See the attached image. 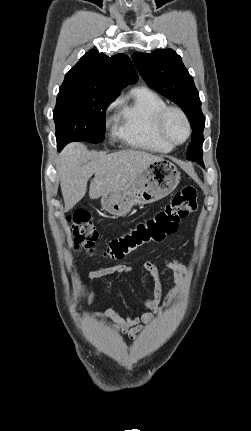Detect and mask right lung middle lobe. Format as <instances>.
<instances>
[{"label":"right lung middle lobe","mask_w":251,"mask_h":431,"mask_svg":"<svg viewBox=\"0 0 251 431\" xmlns=\"http://www.w3.org/2000/svg\"><path fill=\"white\" fill-rule=\"evenodd\" d=\"M116 97L95 90L62 85L54 109L58 149L71 141L102 142L105 134V111Z\"/></svg>","instance_id":"dd1d6c3e"}]
</instances>
